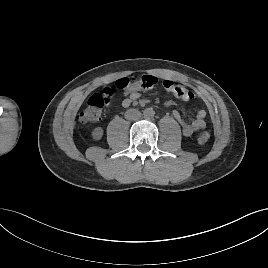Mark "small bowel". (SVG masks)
I'll return each instance as SVG.
<instances>
[{
  "label": "small bowel",
  "instance_id": "c3829d8e",
  "mask_svg": "<svg viewBox=\"0 0 268 268\" xmlns=\"http://www.w3.org/2000/svg\"><path fill=\"white\" fill-rule=\"evenodd\" d=\"M140 98V92L137 89L128 92L127 96L122 100V106L127 108L132 102ZM174 118L179 122L182 132L185 136H192L195 132L202 130L206 127L205 117L206 111L201 109L197 112L196 116L192 119H185L177 110L173 111Z\"/></svg>",
  "mask_w": 268,
  "mask_h": 268
}]
</instances>
